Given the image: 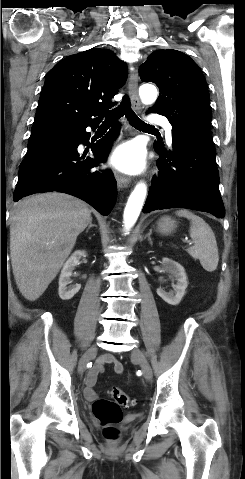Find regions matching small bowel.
Segmentation results:
<instances>
[{
  "label": "small bowel",
  "mask_w": 245,
  "mask_h": 479,
  "mask_svg": "<svg viewBox=\"0 0 245 479\" xmlns=\"http://www.w3.org/2000/svg\"><path fill=\"white\" fill-rule=\"evenodd\" d=\"M105 364H111L113 366V370L116 374H122L123 373V366L120 362H118L112 355L110 354H105L103 355L99 361L90 369L87 378H86V386L84 389L85 396L93 400L96 398V393L93 389L97 377L100 373L103 372L104 370V365Z\"/></svg>",
  "instance_id": "1"
}]
</instances>
